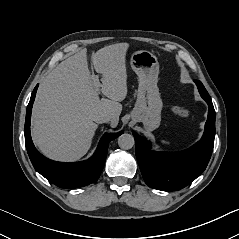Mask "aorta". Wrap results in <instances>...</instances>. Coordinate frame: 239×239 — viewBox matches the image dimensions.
Returning a JSON list of instances; mask_svg holds the SVG:
<instances>
[{"instance_id": "aorta-1", "label": "aorta", "mask_w": 239, "mask_h": 239, "mask_svg": "<svg viewBox=\"0 0 239 239\" xmlns=\"http://www.w3.org/2000/svg\"><path fill=\"white\" fill-rule=\"evenodd\" d=\"M134 144V137L131 134L124 133L118 137V145L121 149H131Z\"/></svg>"}]
</instances>
